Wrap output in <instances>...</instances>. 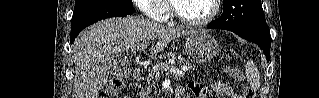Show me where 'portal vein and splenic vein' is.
<instances>
[{
  "label": "portal vein and splenic vein",
  "mask_w": 319,
  "mask_h": 98,
  "mask_svg": "<svg viewBox=\"0 0 319 98\" xmlns=\"http://www.w3.org/2000/svg\"><path fill=\"white\" fill-rule=\"evenodd\" d=\"M148 45V42H144L142 44H140L139 46H137V50L141 51L144 50ZM183 70H187V68L183 69ZM183 70H180L178 68H175L173 66H169L167 64H161V65H157L153 68V71L156 75H159L161 71H169L171 74H173L176 77H180L183 76L184 72Z\"/></svg>",
  "instance_id": "18ae733b"
}]
</instances>
